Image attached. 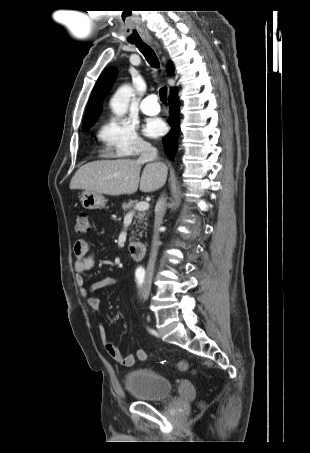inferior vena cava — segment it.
<instances>
[{
    "label": "inferior vena cava",
    "mask_w": 310,
    "mask_h": 453,
    "mask_svg": "<svg viewBox=\"0 0 310 453\" xmlns=\"http://www.w3.org/2000/svg\"><path fill=\"white\" fill-rule=\"evenodd\" d=\"M158 159V151L156 148L151 146L149 143H144L141 147V155L139 157L140 162H151ZM158 164H162L161 162H156ZM165 198L161 196L159 198L156 209H155V220H154V233H153V240H152V248L150 252V257L146 269V276L151 278L153 276V270L155 266V261L158 253V246H159V228L162 224V220L165 213Z\"/></svg>",
    "instance_id": "602c4592"
}]
</instances>
